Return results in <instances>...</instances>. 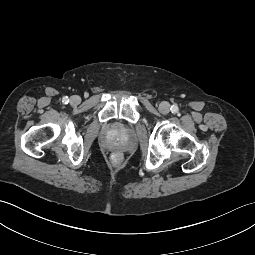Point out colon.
Returning a JSON list of instances; mask_svg holds the SVG:
<instances>
[{
	"instance_id": "colon-1",
	"label": "colon",
	"mask_w": 255,
	"mask_h": 255,
	"mask_svg": "<svg viewBox=\"0 0 255 255\" xmlns=\"http://www.w3.org/2000/svg\"><path fill=\"white\" fill-rule=\"evenodd\" d=\"M122 160H123V157H122V155H121L120 153H118V152H114V153L111 155V163H112L113 165H119V164H121Z\"/></svg>"
}]
</instances>
